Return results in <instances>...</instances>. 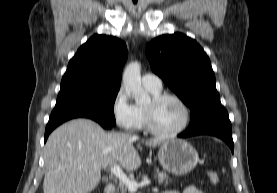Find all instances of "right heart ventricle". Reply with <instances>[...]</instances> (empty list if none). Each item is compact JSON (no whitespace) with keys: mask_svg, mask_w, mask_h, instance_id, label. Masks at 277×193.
<instances>
[{"mask_svg":"<svg viewBox=\"0 0 277 193\" xmlns=\"http://www.w3.org/2000/svg\"><path fill=\"white\" fill-rule=\"evenodd\" d=\"M152 95H156V94H159L160 91H153V90H150V89H147ZM137 109V112H138V115H139V118H140V126L139 128H144L146 127V122H145V116H144V111H143V108L141 107H138L136 108Z\"/></svg>","mask_w":277,"mask_h":193,"instance_id":"right-heart-ventricle-1","label":"right heart ventricle"}]
</instances>
